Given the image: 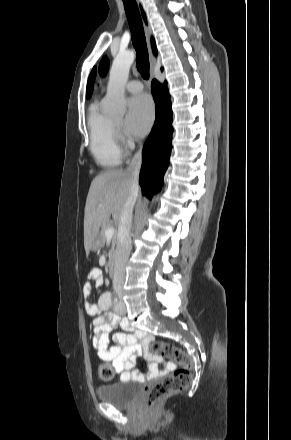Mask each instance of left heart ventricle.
<instances>
[{
    "label": "left heart ventricle",
    "instance_id": "obj_1",
    "mask_svg": "<svg viewBox=\"0 0 291 440\" xmlns=\"http://www.w3.org/2000/svg\"><path fill=\"white\" fill-rule=\"evenodd\" d=\"M114 122L117 124H121L122 123V119H114Z\"/></svg>",
    "mask_w": 291,
    "mask_h": 440
}]
</instances>
